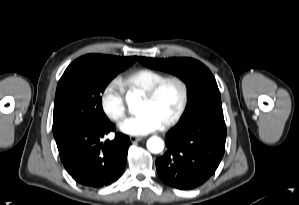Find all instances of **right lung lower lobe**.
I'll return each mask as SVG.
<instances>
[{
  "instance_id": "1",
  "label": "right lung lower lobe",
  "mask_w": 299,
  "mask_h": 205,
  "mask_svg": "<svg viewBox=\"0 0 299 205\" xmlns=\"http://www.w3.org/2000/svg\"><path fill=\"white\" fill-rule=\"evenodd\" d=\"M114 130L110 121L85 125L56 142L65 169L79 184L100 188L121 177L130 144L128 136L116 133L113 140L101 141Z\"/></svg>"
}]
</instances>
